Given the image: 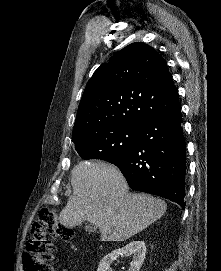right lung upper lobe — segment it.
<instances>
[{
	"label": "right lung upper lobe",
	"instance_id": "cb5924a9",
	"mask_svg": "<svg viewBox=\"0 0 221 271\" xmlns=\"http://www.w3.org/2000/svg\"><path fill=\"white\" fill-rule=\"evenodd\" d=\"M178 108V91L165 59L145 43H132L88 81L72 140L118 125L142 127Z\"/></svg>",
	"mask_w": 221,
	"mask_h": 271
}]
</instances>
